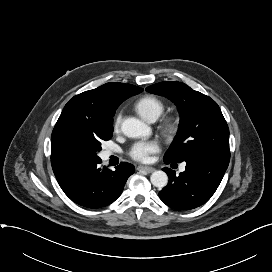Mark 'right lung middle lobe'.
I'll return each mask as SVG.
<instances>
[{
	"mask_svg": "<svg viewBox=\"0 0 272 272\" xmlns=\"http://www.w3.org/2000/svg\"><path fill=\"white\" fill-rule=\"evenodd\" d=\"M113 122L84 123L65 129L61 135V143L65 151L78 162L84 164L100 159L101 142L110 140Z\"/></svg>",
	"mask_w": 272,
	"mask_h": 272,
	"instance_id": "1",
	"label": "right lung middle lobe"
}]
</instances>
